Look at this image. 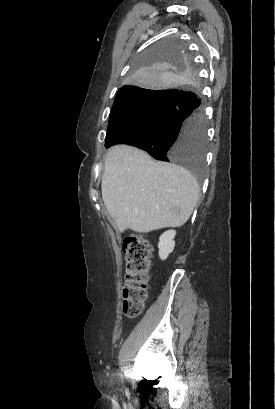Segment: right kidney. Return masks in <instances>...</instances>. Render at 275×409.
Returning <instances> with one entry per match:
<instances>
[{
    "label": "right kidney",
    "instance_id": "obj_1",
    "mask_svg": "<svg viewBox=\"0 0 275 409\" xmlns=\"http://www.w3.org/2000/svg\"><path fill=\"white\" fill-rule=\"evenodd\" d=\"M176 235V231H166L163 233L159 239L158 249H159V257L162 261L168 259V255L174 251L175 241H173Z\"/></svg>",
    "mask_w": 275,
    "mask_h": 409
}]
</instances>
